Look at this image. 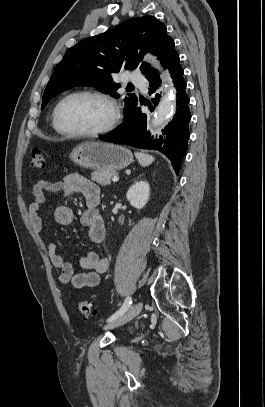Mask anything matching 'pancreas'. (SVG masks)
<instances>
[{
  "instance_id": "1",
  "label": "pancreas",
  "mask_w": 265,
  "mask_h": 407,
  "mask_svg": "<svg viewBox=\"0 0 265 407\" xmlns=\"http://www.w3.org/2000/svg\"><path fill=\"white\" fill-rule=\"evenodd\" d=\"M117 173L115 171H95L91 173V178L94 182L105 186L110 185L111 178L116 176Z\"/></svg>"
}]
</instances>
